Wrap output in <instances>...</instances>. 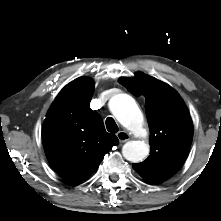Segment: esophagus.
<instances>
[{"label": "esophagus", "mask_w": 221, "mask_h": 221, "mask_svg": "<svg viewBox=\"0 0 221 221\" xmlns=\"http://www.w3.org/2000/svg\"><path fill=\"white\" fill-rule=\"evenodd\" d=\"M116 136L120 143H125L129 140V134L126 131H119Z\"/></svg>", "instance_id": "esophagus-1"}]
</instances>
